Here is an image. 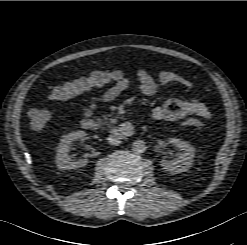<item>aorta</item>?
I'll list each match as a JSON object with an SVG mask.
<instances>
[{
    "instance_id": "aorta-1",
    "label": "aorta",
    "mask_w": 247,
    "mask_h": 245,
    "mask_svg": "<svg viewBox=\"0 0 247 245\" xmlns=\"http://www.w3.org/2000/svg\"><path fill=\"white\" fill-rule=\"evenodd\" d=\"M146 148V143L143 140H135L132 144V150L137 154L144 153Z\"/></svg>"
}]
</instances>
